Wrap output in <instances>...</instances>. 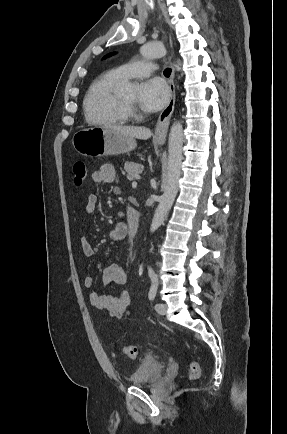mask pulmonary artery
<instances>
[{
	"label": "pulmonary artery",
	"mask_w": 287,
	"mask_h": 434,
	"mask_svg": "<svg viewBox=\"0 0 287 434\" xmlns=\"http://www.w3.org/2000/svg\"><path fill=\"white\" fill-rule=\"evenodd\" d=\"M117 70L124 79L143 78L155 71L156 66L150 61L142 60L124 64L118 67Z\"/></svg>",
	"instance_id": "pulmonary-artery-1"
}]
</instances>
